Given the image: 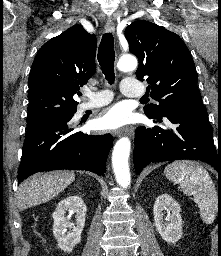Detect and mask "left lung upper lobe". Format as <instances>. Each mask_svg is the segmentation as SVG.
Returning a JSON list of instances; mask_svg holds the SVG:
<instances>
[{
	"label": "left lung upper lobe",
	"instance_id": "5c2ea615",
	"mask_svg": "<svg viewBox=\"0 0 221 256\" xmlns=\"http://www.w3.org/2000/svg\"><path fill=\"white\" fill-rule=\"evenodd\" d=\"M129 50L137 56L136 76L149 83L150 96L159 102L144 107L148 117H160L172 109L205 111L197 89L198 76L191 54L175 33L148 21L127 26Z\"/></svg>",
	"mask_w": 221,
	"mask_h": 256
}]
</instances>
